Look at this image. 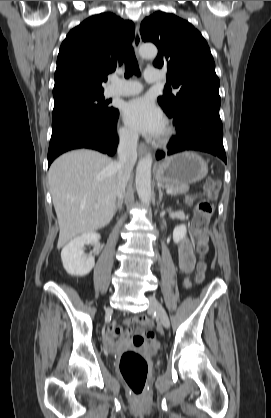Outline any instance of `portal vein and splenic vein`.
Here are the masks:
<instances>
[{"label":"portal vein and splenic vein","instance_id":"1","mask_svg":"<svg viewBox=\"0 0 271 418\" xmlns=\"http://www.w3.org/2000/svg\"><path fill=\"white\" fill-rule=\"evenodd\" d=\"M166 193H168V194L172 193V189H167ZM95 207H98V205H95Z\"/></svg>","mask_w":271,"mask_h":418}]
</instances>
